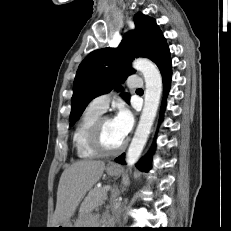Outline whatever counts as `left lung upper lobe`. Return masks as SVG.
<instances>
[{
    "label": "left lung upper lobe",
    "instance_id": "left-lung-upper-lobe-1",
    "mask_svg": "<svg viewBox=\"0 0 231 231\" xmlns=\"http://www.w3.org/2000/svg\"><path fill=\"white\" fill-rule=\"evenodd\" d=\"M135 30L124 36L117 48H102L88 54L78 67L73 85L70 123L77 121L88 103L111 91L135 71V57L151 60L165 42L156 21L143 13L134 16ZM122 96L129 102L127 93Z\"/></svg>",
    "mask_w": 231,
    "mask_h": 231
}]
</instances>
